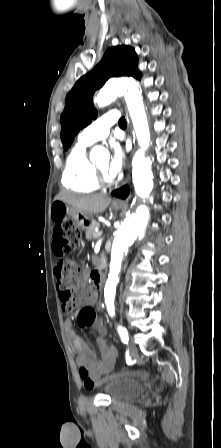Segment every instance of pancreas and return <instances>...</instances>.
<instances>
[{"label": "pancreas", "instance_id": "obj_1", "mask_svg": "<svg viewBox=\"0 0 221 448\" xmlns=\"http://www.w3.org/2000/svg\"><path fill=\"white\" fill-rule=\"evenodd\" d=\"M95 224H92L87 230H86V239H96V232L94 230Z\"/></svg>", "mask_w": 221, "mask_h": 448}]
</instances>
